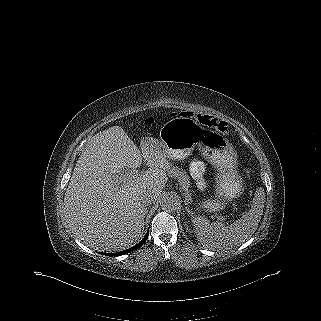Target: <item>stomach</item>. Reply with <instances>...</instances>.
Returning <instances> with one entry per match:
<instances>
[{"label":"stomach","mask_w":321,"mask_h":321,"mask_svg":"<svg viewBox=\"0 0 321 321\" xmlns=\"http://www.w3.org/2000/svg\"><path fill=\"white\" fill-rule=\"evenodd\" d=\"M159 137V140L145 137L141 143L156 147L167 158L174 160L187 158L195 147H199L204 157L220 169L217 181L219 197L227 200L238 194L240 184L234 177L236 155L226 138L204 129L188 117H176L166 122L160 129ZM222 205L221 201H208L204 207L215 211L221 209Z\"/></svg>","instance_id":"obj_1"}]
</instances>
